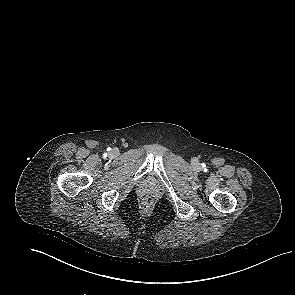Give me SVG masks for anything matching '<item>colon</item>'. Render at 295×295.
<instances>
[{"label":"colon","instance_id":"obj_1","mask_svg":"<svg viewBox=\"0 0 295 295\" xmlns=\"http://www.w3.org/2000/svg\"><path fill=\"white\" fill-rule=\"evenodd\" d=\"M145 202H146L147 204H150V203L152 202V198L149 197V196L146 197Z\"/></svg>","mask_w":295,"mask_h":295}]
</instances>
